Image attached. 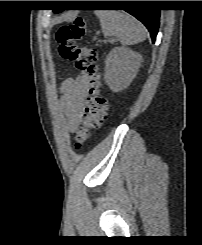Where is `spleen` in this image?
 Segmentation results:
<instances>
[{"instance_id": "1", "label": "spleen", "mask_w": 202, "mask_h": 245, "mask_svg": "<svg viewBox=\"0 0 202 245\" xmlns=\"http://www.w3.org/2000/svg\"><path fill=\"white\" fill-rule=\"evenodd\" d=\"M105 36H115L122 45H133L146 38L144 26L135 18L118 12L99 10L95 12Z\"/></svg>"}]
</instances>
